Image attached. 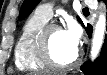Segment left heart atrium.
<instances>
[{
  "label": "left heart atrium",
  "mask_w": 107,
  "mask_h": 75,
  "mask_svg": "<svg viewBox=\"0 0 107 75\" xmlns=\"http://www.w3.org/2000/svg\"><path fill=\"white\" fill-rule=\"evenodd\" d=\"M62 32L68 44L77 50L81 40V29L78 24L70 21Z\"/></svg>",
  "instance_id": "left-heart-atrium-1"
}]
</instances>
